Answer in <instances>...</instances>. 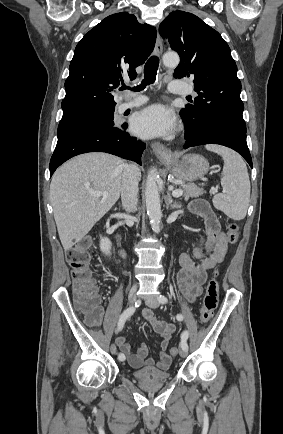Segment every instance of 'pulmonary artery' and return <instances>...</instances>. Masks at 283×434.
Returning <instances> with one entry per match:
<instances>
[{
    "instance_id": "pulmonary-artery-1",
    "label": "pulmonary artery",
    "mask_w": 283,
    "mask_h": 434,
    "mask_svg": "<svg viewBox=\"0 0 283 434\" xmlns=\"http://www.w3.org/2000/svg\"><path fill=\"white\" fill-rule=\"evenodd\" d=\"M169 90L172 93L180 94V95H189L193 93V86L187 83L179 82V81H173L170 83ZM146 102L145 97L143 96H137L133 99H124L119 105H118V111L124 112L127 109L138 107Z\"/></svg>"
}]
</instances>
